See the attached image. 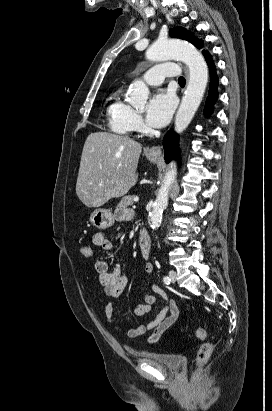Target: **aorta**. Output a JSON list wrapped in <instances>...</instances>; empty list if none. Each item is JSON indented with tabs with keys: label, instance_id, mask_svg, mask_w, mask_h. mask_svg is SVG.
Masks as SVG:
<instances>
[{
	"label": "aorta",
	"instance_id": "obj_1",
	"mask_svg": "<svg viewBox=\"0 0 272 411\" xmlns=\"http://www.w3.org/2000/svg\"><path fill=\"white\" fill-rule=\"evenodd\" d=\"M150 61H164L177 58L189 68V82L175 118V131L182 133L197 111L208 82V67L202 54L191 44L176 39L158 40L146 51ZM149 95L148 87L142 81H135L127 93L128 102L136 109H143ZM176 177V167L172 163L167 170L150 216L152 228H158L163 211L168 203L171 185Z\"/></svg>",
	"mask_w": 272,
	"mask_h": 411
}]
</instances>
